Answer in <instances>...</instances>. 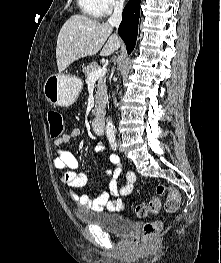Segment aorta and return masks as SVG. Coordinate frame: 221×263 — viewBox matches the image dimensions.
Listing matches in <instances>:
<instances>
[{
  "instance_id": "762f6f07",
  "label": "aorta",
  "mask_w": 221,
  "mask_h": 263,
  "mask_svg": "<svg viewBox=\"0 0 221 263\" xmlns=\"http://www.w3.org/2000/svg\"><path fill=\"white\" fill-rule=\"evenodd\" d=\"M105 132L107 135H114V133H115V126H114L111 119H107Z\"/></svg>"
}]
</instances>
